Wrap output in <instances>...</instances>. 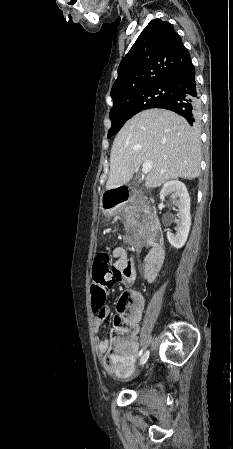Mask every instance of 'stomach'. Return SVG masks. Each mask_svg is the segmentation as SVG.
Returning a JSON list of instances; mask_svg holds the SVG:
<instances>
[{
  "label": "stomach",
  "instance_id": "0dacf381",
  "mask_svg": "<svg viewBox=\"0 0 233 449\" xmlns=\"http://www.w3.org/2000/svg\"><path fill=\"white\" fill-rule=\"evenodd\" d=\"M118 207L119 206H103L102 209L105 214L114 215L118 212Z\"/></svg>",
  "mask_w": 233,
  "mask_h": 449
}]
</instances>
